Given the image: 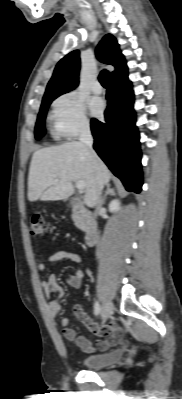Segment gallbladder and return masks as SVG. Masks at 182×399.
Instances as JSON below:
<instances>
[{
    "instance_id": "bac80fb5",
    "label": "gallbladder",
    "mask_w": 182,
    "mask_h": 399,
    "mask_svg": "<svg viewBox=\"0 0 182 399\" xmlns=\"http://www.w3.org/2000/svg\"><path fill=\"white\" fill-rule=\"evenodd\" d=\"M76 201H77V199H73V200L71 201V205H74V204L76 203Z\"/></svg>"
}]
</instances>
